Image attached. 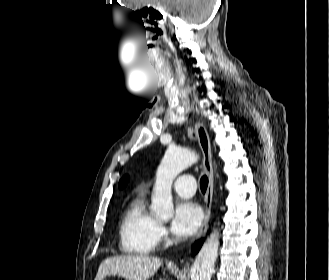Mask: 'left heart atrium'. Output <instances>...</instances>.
<instances>
[{
  "label": "left heart atrium",
  "mask_w": 329,
  "mask_h": 280,
  "mask_svg": "<svg viewBox=\"0 0 329 280\" xmlns=\"http://www.w3.org/2000/svg\"><path fill=\"white\" fill-rule=\"evenodd\" d=\"M202 218V211L197 204L190 201L180 202L174 211L172 231L179 237H188L199 229Z\"/></svg>",
  "instance_id": "obj_1"
}]
</instances>
